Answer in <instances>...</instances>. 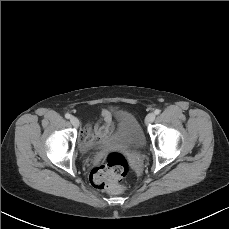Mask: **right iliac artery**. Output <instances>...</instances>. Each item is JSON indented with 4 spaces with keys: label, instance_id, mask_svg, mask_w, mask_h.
Segmentation results:
<instances>
[{
    "label": "right iliac artery",
    "instance_id": "obj_1",
    "mask_svg": "<svg viewBox=\"0 0 229 229\" xmlns=\"http://www.w3.org/2000/svg\"><path fill=\"white\" fill-rule=\"evenodd\" d=\"M65 117H66L67 119H70V118H71V115H70L69 113H67V114H65Z\"/></svg>",
    "mask_w": 229,
    "mask_h": 229
}]
</instances>
